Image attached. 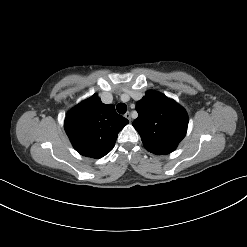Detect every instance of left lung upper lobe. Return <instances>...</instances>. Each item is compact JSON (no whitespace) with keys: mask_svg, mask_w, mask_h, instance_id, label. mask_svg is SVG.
Here are the masks:
<instances>
[{"mask_svg":"<svg viewBox=\"0 0 247 247\" xmlns=\"http://www.w3.org/2000/svg\"><path fill=\"white\" fill-rule=\"evenodd\" d=\"M138 117L134 128L141 136L144 147L161 155L173 152L186 135V111L164 94L149 90L137 102Z\"/></svg>","mask_w":247,"mask_h":247,"instance_id":"1","label":"left lung upper lobe"}]
</instances>
